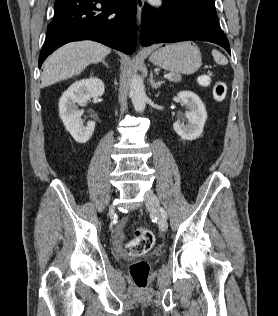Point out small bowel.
Returning <instances> with one entry per match:
<instances>
[{"label":"small bowel","mask_w":278,"mask_h":316,"mask_svg":"<svg viewBox=\"0 0 278 316\" xmlns=\"http://www.w3.org/2000/svg\"><path fill=\"white\" fill-rule=\"evenodd\" d=\"M122 225H123V223L121 225H119L117 230H116V233H115V242L116 243H118V241H119Z\"/></svg>","instance_id":"1"}]
</instances>
